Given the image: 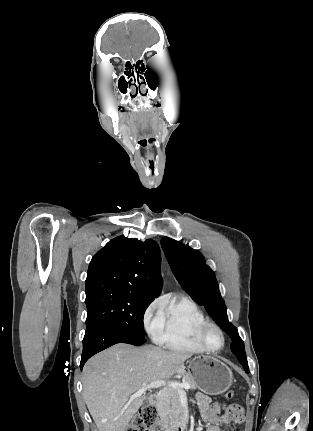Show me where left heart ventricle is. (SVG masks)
I'll return each instance as SVG.
<instances>
[{
  "label": "left heart ventricle",
  "instance_id": "1",
  "mask_svg": "<svg viewBox=\"0 0 313 431\" xmlns=\"http://www.w3.org/2000/svg\"><path fill=\"white\" fill-rule=\"evenodd\" d=\"M205 340L211 348H219L222 343V339L217 330L210 328L205 334Z\"/></svg>",
  "mask_w": 313,
  "mask_h": 431
}]
</instances>
